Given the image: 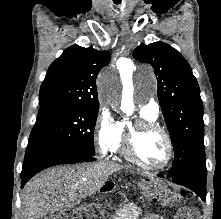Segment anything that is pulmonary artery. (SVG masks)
Masks as SVG:
<instances>
[{"label":"pulmonary artery","instance_id":"obj_1","mask_svg":"<svg viewBox=\"0 0 221 219\" xmlns=\"http://www.w3.org/2000/svg\"><path fill=\"white\" fill-rule=\"evenodd\" d=\"M141 111L149 113L154 117H157V114L159 112V105L156 101L150 100L142 107Z\"/></svg>","mask_w":221,"mask_h":219}]
</instances>
